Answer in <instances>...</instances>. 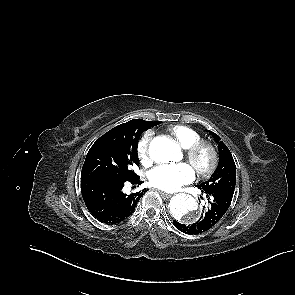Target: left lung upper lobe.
Returning a JSON list of instances; mask_svg holds the SVG:
<instances>
[{
	"mask_svg": "<svg viewBox=\"0 0 295 295\" xmlns=\"http://www.w3.org/2000/svg\"><path fill=\"white\" fill-rule=\"evenodd\" d=\"M210 133L218 143L219 163L210 179L197 187L203 190H225L234 193L236 185L235 162L227 146L219 141L220 137L211 131Z\"/></svg>",
	"mask_w": 295,
	"mask_h": 295,
	"instance_id": "5c2ea615",
	"label": "left lung upper lobe"
}]
</instances>
